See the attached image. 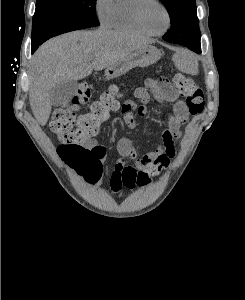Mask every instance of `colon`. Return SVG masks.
Wrapping results in <instances>:
<instances>
[{"label": "colon", "instance_id": "obj_1", "mask_svg": "<svg viewBox=\"0 0 245 300\" xmlns=\"http://www.w3.org/2000/svg\"><path fill=\"white\" fill-rule=\"evenodd\" d=\"M173 82L186 98L190 114L201 113L205 105L203 90L191 78L180 73L173 76ZM90 96L89 85L79 84L72 99L54 112L51 130L58 135L57 151L60 157L79 174L95 182L101 174V163L98 152L88 148L86 143L97 135L101 124L107 121L111 112L118 108L120 94L117 87H111L102 94L99 101L92 105L90 112L76 117V109L84 105ZM149 180V176L140 174L137 185H146Z\"/></svg>", "mask_w": 245, "mask_h": 300}]
</instances>
